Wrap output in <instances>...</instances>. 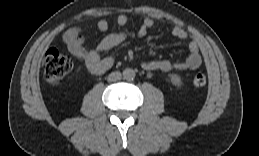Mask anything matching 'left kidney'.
Instances as JSON below:
<instances>
[{
    "label": "left kidney",
    "instance_id": "obj_1",
    "mask_svg": "<svg viewBox=\"0 0 259 156\" xmlns=\"http://www.w3.org/2000/svg\"><path fill=\"white\" fill-rule=\"evenodd\" d=\"M169 80L173 85H175L177 87H180L183 84L181 77L177 74H170Z\"/></svg>",
    "mask_w": 259,
    "mask_h": 156
}]
</instances>
